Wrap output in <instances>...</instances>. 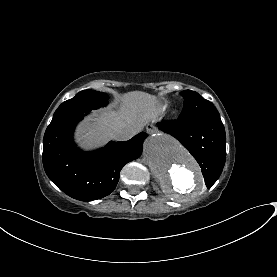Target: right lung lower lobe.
<instances>
[{
	"instance_id": "1",
	"label": "right lung lower lobe",
	"mask_w": 277,
	"mask_h": 277,
	"mask_svg": "<svg viewBox=\"0 0 277 277\" xmlns=\"http://www.w3.org/2000/svg\"><path fill=\"white\" fill-rule=\"evenodd\" d=\"M84 117L76 113L50 124L43 139V166L50 180L64 193L81 201L109 195L119 181L122 167L142 153L145 133L125 142L82 152L72 140L75 125Z\"/></svg>"
}]
</instances>
